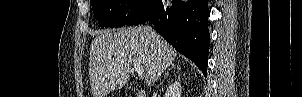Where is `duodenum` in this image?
I'll use <instances>...</instances> for the list:
<instances>
[{
  "mask_svg": "<svg viewBox=\"0 0 302 97\" xmlns=\"http://www.w3.org/2000/svg\"><path fill=\"white\" fill-rule=\"evenodd\" d=\"M146 93L143 92V91H140L138 94H137V97H146Z\"/></svg>",
  "mask_w": 302,
  "mask_h": 97,
  "instance_id": "obj_1",
  "label": "duodenum"
}]
</instances>
